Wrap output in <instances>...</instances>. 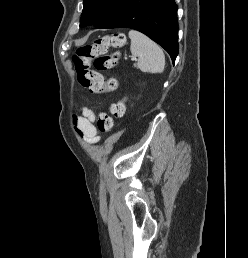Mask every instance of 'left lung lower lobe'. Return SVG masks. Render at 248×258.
Returning <instances> with one entry per match:
<instances>
[{
    "label": "left lung lower lobe",
    "instance_id": "left-lung-lower-lobe-1",
    "mask_svg": "<svg viewBox=\"0 0 248 258\" xmlns=\"http://www.w3.org/2000/svg\"><path fill=\"white\" fill-rule=\"evenodd\" d=\"M97 28H132L164 48L173 63L178 55L177 5L174 0H128L112 19Z\"/></svg>",
    "mask_w": 248,
    "mask_h": 258
}]
</instances>
